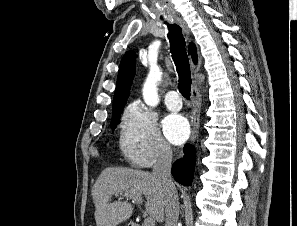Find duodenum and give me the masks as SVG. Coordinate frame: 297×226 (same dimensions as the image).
Returning <instances> with one entry per match:
<instances>
[{"instance_id":"duodenum-1","label":"duodenum","mask_w":297,"mask_h":226,"mask_svg":"<svg viewBox=\"0 0 297 226\" xmlns=\"http://www.w3.org/2000/svg\"><path fill=\"white\" fill-rule=\"evenodd\" d=\"M130 226H141V225L138 224V223H136V222H132V223L130 224Z\"/></svg>"}]
</instances>
